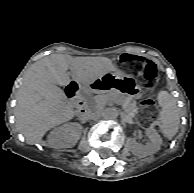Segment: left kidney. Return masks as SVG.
<instances>
[{"label":"left kidney","mask_w":194,"mask_h":193,"mask_svg":"<svg viewBox=\"0 0 194 193\" xmlns=\"http://www.w3.org/2000/svg\"><path fill=\"white\" fill-rule=\"evenodd\" d=\"M146 135L150 139L145 146L139 145L135 140H129L128 144L131 152L139 157H145L154 154L160 150L162 144V138L154 129H147Z\"/></svg>","instance_id":"left-kidney-1"}]
</instances>
